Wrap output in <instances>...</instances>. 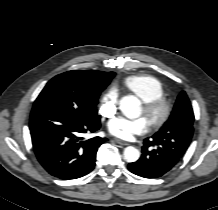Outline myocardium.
<instances>
[{
	"label": "myocardium",
	"instance_id": "f54148a6",
	"mask_svg": "<svg viewBox=\"0 0 218 210\" xmlns=\"http://www.w3.org/2000/svg\"><path fill=\"white\" fill-rule=\"evenodd\" d=\"M171 110V104L164 96L143 101L144 115L153 128L163 126L169 119Z\"/></svg>",
	"mask_w": 218,
	"mask_h": 210
}]
</instances>
